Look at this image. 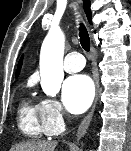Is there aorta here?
<instances>
[{"label":"aorta","mask_w":131,"mask_h":151,"mask_svg":"<svg viewBox=\"0 0 131 151\" xmlns=\"http://www.w3.org/2000/svg\"><path fill=\"white\" fill-rule=\"evenodd\" d=\"M64 34L59 29H51L46 36L40 55V75L43 91L55 96L64 78L63 55Z\"/></svg>","instance_id":"1"}]
</instances>
